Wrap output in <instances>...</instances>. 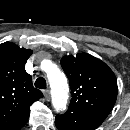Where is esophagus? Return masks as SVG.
Segmentation results:
<instances>
[{"label":"esophagus","instance_id":"obj_1","mask_svg":"<svg viewBox=\"0 0 130 130\" xmlns=\"http://www.w3.org/2000/svg\"><path fill=\"white\" fill-rule=\"evenodd\" d=\"M43 93H44L45 99L47 101H50V99H51L50 91L49 90H45Z\"/></svg>","mask_w":130,"mask_h":130}]
</instances>
